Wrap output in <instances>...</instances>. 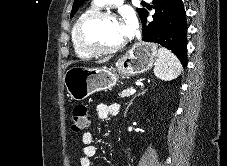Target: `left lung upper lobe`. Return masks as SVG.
Listing matches in <instances>:
<instances>
[{"label": "left lung upper lobe", "mask_w": 227, "mask_h": 166, "mask_svg": "<svg viewBox=\"0 0 227 166\" xmlns=\"http://www.w3.org/2000/svg\"><path fill=\"white\" fill-rule=\"evenodd\" d=\"M87 0H75L74 1V4H73V8H72V11H71V18L74 16V14L76 13V11L79 9V7ZM138 13H139V16L141 18V20L143 19L144 17V14L146 12L145 9L141 8V9H137Z\"/></svg>", "instance_id": "5c2ea615"}]
</instances>
